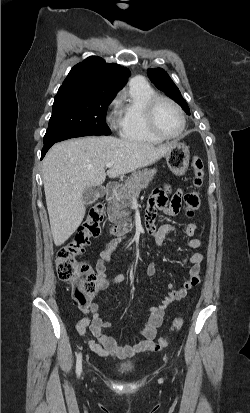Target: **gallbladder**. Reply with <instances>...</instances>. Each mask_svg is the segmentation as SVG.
Wrapping results in <instances>:
<instances>
[{"label":"gallbladder","mask_w":250,"mask_h":413,"mask_svg":"<svg viewBox=\"0 0 250 413\" xmlns=\"http://www.w3.org/2000/svg\"><path fill=\"white\" fill-rule=\"evenodd\" d=\"M104 192L101 186L87 187L83 193V200L86 204H92Z\"/></svg>","instance_id":"bac80fb5"}]
</instances>
